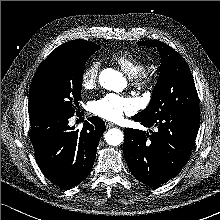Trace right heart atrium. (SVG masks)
<instances>
[{
	"label": "right heart atrium",
	"mask_w": 220,
	"mask_h": 220,
	"mask_svg": "<svg viewBox=\"0 0 220 220\" xmlns=\"http://www.w3.org/2000/svg\"><path fill=\"white\" fill-rule=\"evenodd\" d=\"M100 63L97 60L91 61L81 74V86L84 90L93 89L98 82Z\"/></svg>",
	"instance_id": "d8ad5b80"
}]
</instances>
